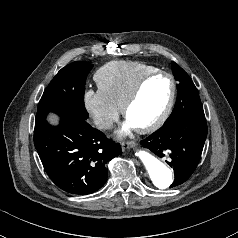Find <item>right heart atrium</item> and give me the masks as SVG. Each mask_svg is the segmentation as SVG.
<instances>
[{
	"mask_svg": "<svg viewBox=\"0 0 238 238\" xmlns=\"http://www.w3.org/2000/svg\"><path fill=\"white\" fill-rule=\"evenodd\" d=\"M84 107L94 124L101 130L110 129L119 117L120 109L112 104L98 89L84 93Z\"/></svg>",
	"mask_w": 238,
	"mask_h": 238,
	"instance_id": "1",
	"label": "right heart atrium"
}]
</instances>
